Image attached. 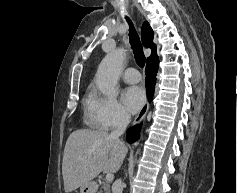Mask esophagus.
<instances>
[{
    "mask_svg": "<svg viewBox=\"0 0 237 193\" xmlns=\"http://www.w3.org/2000/svg\"><path fill=\"white\" fill-rule=\"evenodd\" d=\"M148 109H149V101H148V99H146L144 101V104H143L141 110L139 111L138 115L136 116L135 120L133 121V125H136L143 120V118L145 117V115L148 112Z\"/></svg>",
    "mask_w": 237,
    "mask_h": 193,
    "instance_id": "esophagus-1",
    "label": "esophagus"
}]
</instances>
